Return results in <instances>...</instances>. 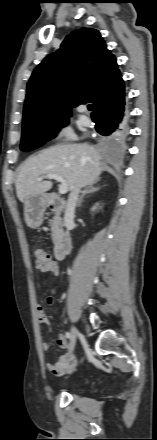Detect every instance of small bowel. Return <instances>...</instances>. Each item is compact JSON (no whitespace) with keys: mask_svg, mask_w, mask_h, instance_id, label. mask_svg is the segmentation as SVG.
I'll return each mask as SVG.
<instances>
[{"mask_svg":"<svg viewBox=\"0 0 157 440\" xmlns=\"http://www.w3.org/2000/svg\"><path fill=\"white\" fill-rule=\"evenodd\" d=\"M39 270L43 272H49L53 275H57L59 273L57 263L52 260L46 266L39 268ZM36 310L39 323L43 325H49V318L45 314L43 307L41 305H37ZM57 345L61 349H66L68 347V342L62 334H60L57 339ZM42 348L44 351H49L50 343L43 342ZM46 367L51 373L57 376H62L64 374H70L76 371L78 367V361L74 357V355H72L70 352H67L63 355H60L55 362H48L46 364Z\"/></svg>","mask_w":157,"mask_h":440,"instance_id":"obj_1","label":"small bowel"}]
</instances>
